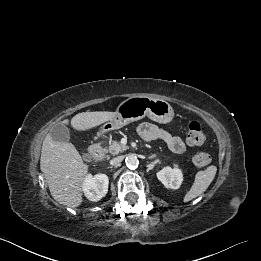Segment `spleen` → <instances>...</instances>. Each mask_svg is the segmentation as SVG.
<instances>
[{
    "label": "spleen",
    "instance_id": "obj_1",
    "mask_svg": "<svg viewBox=\"0 0 261 261\" xmlns=\"http://www.w3.org/2000/svg\"><path fill=\"white\" fill-rule=\"evenodd\" d=\"M216 166H209L203 171H199L190 190L184 196V202H189L192 199L201 195L209 187L216 175Z\"/></svg>",
    "mask_w": 261,
    "mask_h": 261
}]
</instances>
